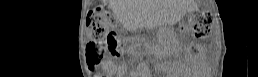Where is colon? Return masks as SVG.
Returning a JSON list of instances; mask_svg holds the SVG:
<instances>
[{
	"label": "colon",
	"mask_w": 258,
	"mask_h": 77,
	"mask_svg": "<svg viewBox=\"0 0 258 77\" xmlns=\"http://www.w3.org/2000/svg\"><path fill=\"white\" fill-rule=\"evenodd\" d=\"M212 15L208 12L195 14L187 27L196 38H207L211 32ZM87 27L90 42L87 46L88 64H99L104 52L116 53L127 47V43L115 32L116 20L110 12L95 8L88 13Z\"/></svg>",
	"instance_id": "colon-1"
}]
</instances>
